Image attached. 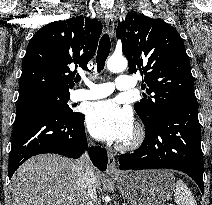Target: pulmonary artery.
<instances>
[{"mask_svg":"<svg viewBox=\"0 0 212 205\" xmlns=\"http://www.w3.org/2000/svg\"><path fill=\"white\" fill-rule=\"evenodd\" d=\"M85 89H77L73 93V100H95L104 98L110 95L115 89L118 90H130L135 87V80L125 74H120L117 76L114 83H94L89 80H85Z\"/></svg>","mask_w":212,"mask_h":205,"instance_id":"obj_1","label":"pulmonary artery"}]
</instances>
